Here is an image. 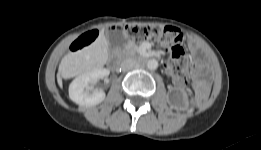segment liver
<instances>
[{
    "instance_id": "1",
    "label": "liver",
    "mask_w": 261,
    "mask_h": 150,
    "mask_svg": "<svg viewBox=\"0 0 261 150\" xmlns=\"http://www.w3.org/2000/svg\"><path fill=\"white\" fill-rule=\"evenodd\" d=\"M108 60V41L103 32L89 46L78 52L65 55L59 65L57 81L62 88V79L75 73L83 74L102 68Z\"/></svg>"
}]
</instances>
